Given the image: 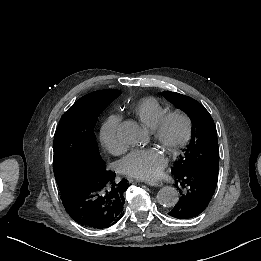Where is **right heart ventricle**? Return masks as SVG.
I'll use <instances>...</instances> for the list:
<instances>
[{
    "mask_svg": "<svg viewBox=\"0 0 261 261\" xmlns=\"http://www.w3.org/2000/svg\"><path fill=\"white\" fill-rule=\"evenodd\" d=\"M130 110L145 126L155 124L160 117L168 112L167 107L152 96L139 99L130 107Z\"/></svg>",
    "mask_w": 261,
    "mask_h": 261,
    "instance_id": "obj_1",
    "label": "right heart ventricle"
}]
</instances>
